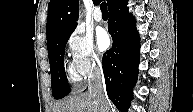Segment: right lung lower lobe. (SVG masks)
<instances>
[{
	"mask_svg": "<svg viewBox=\"0 0 193 112\" xmlns=\"http://www.w3.org/2000/svg\"><path fill=\"white\" fill-rule=\"evenodd\" d=\"M126 5L127 0H120L109 9L108 31L113 45L102 59L107 94L122 112H127L130 106L132 89L137 80L140 48L135 19L128 13Z\"/></svg>",
	"mask_w": 193,
	"mask_h": 112,
	"instance_id": "right-lung-lower-lobe-1",
	"label": "right lung lower lobe"
}]
</instances>
